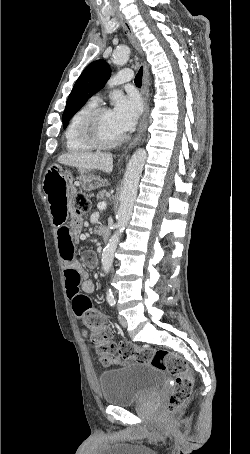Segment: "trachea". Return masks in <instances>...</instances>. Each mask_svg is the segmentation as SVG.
Returning <instances> with one entry per match:
<instances>
[{
  "mask_svg": "<svg viewBox=\"0 0 250 454\" xmlns=\"http://www.w3.org/2000/svg\"><path fill=\"white\" fill-rule=\"evenodd\" d=\"M142 75H143V68L141 67L134 79L136 85L141 86L142 84Z\"/></svg>",
  "mask_w": 250,
  "mask_h": 454,
  "instance_id": "trachea-1",
  "label": "trachea"
}]
</instances>
